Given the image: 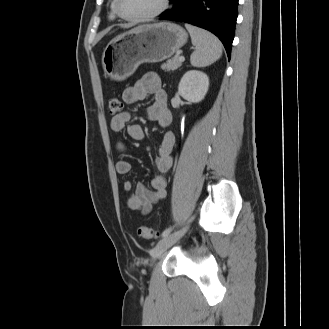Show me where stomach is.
Segmentation results:
<instances>
[{
  "label": "stomach",
  "mask_w": 329,
  "mask_h": 329,
  "mask_svg": "<svg viewBox=\"0 0 329 329\" xmlns=\"http://www.w3.org/2000/svg\"><path fill=\"white\" fill-rule=\"evenodd\" d=\"M187 38L186 31L171 22L140 25L108 43L102 55L103 69L111 79L124 80L142 63L170 58Z\"/></svg>",
  "instance_id": "obj_1"
}]
</instances>
